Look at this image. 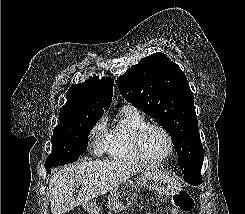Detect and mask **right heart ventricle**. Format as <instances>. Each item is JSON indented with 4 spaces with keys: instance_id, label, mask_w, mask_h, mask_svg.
Returning a JSON list of instances; mask_svg holds the SVG:
<instances>
[{
    "instance_id": "e07e8e85",
    "label": "right heart ventricle",
    "mask_w": 245,
    "mask_h": 214,
    "mask_svg": "<svg viewBox=\"0 0 245 214\" xmlns=\"http://www.w3.org/2000/svg\"><path fill=\"white\" fill-rule=\"evenodd\" d=\"M147 124L142 112L134 106H123L103 139V150L113 160L144 164L134 146L137 130Z\"/></svg>"
}]
</instances>
